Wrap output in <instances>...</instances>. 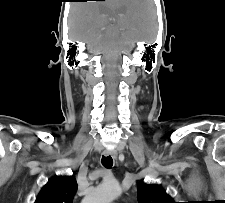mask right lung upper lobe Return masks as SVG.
I'll return each mask as SVG.
<instances>
[{"label":"right lung upper lobe","mask_w":225,"mask_h":203,"mask_svg":"<svg viewBox=\"0 0 225 203\" xmlns=\"http://www.w3.org/2000/svg\"><path fill=\"white\" fill-rule=\"evenodd\" d=\"M76 190L73 176H56L41 189L35 203H72Z\"/></svg>","instance_id":"cb5924a9"}]
</instances>
